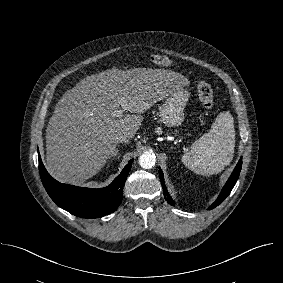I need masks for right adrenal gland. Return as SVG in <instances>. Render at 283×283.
I'll return each instance as SVG.
<instances>
[{"mask_svg": "<svg viewBox=\"0 0 283 283\" xmlns=\"http://www.w3.org/2000/svg\"><path fill=\"white\" fill-rule=\"evenodd\" d=\"M118 144H115L114 147H113V150H112V153H111V157L112 158H115L116 156L119 155V150H118Z\"/></svg>", "mask_w": 283, "mask_h": 283, "instance_id": "obj_1", "label": "right adrenal gland"}]
</instances>
